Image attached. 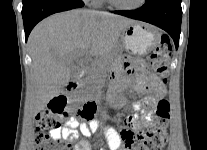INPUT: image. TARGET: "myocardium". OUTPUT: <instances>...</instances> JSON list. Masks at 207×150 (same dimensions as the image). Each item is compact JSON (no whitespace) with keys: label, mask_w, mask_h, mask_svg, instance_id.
<instances>
[{"label":"myocardium","mask_w":207,"mask_h":150,"mask_svg":"<svg viewBox=\"0 0 207 150\" xmlns=\"http://www.w3.org/2000/svg\"><path fill=\"white\" fill-rule=\"evenodd\" d=\"M106 1L110 5L115 7L116 9L124 10V11L138 10V9L142 8L147 2V0H140L139 3L134 6H123V5H120L119 3H117L116 0H106Z\"/></svg>","instance_id":"obj_1"}]
</instances>
